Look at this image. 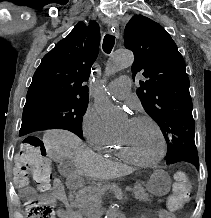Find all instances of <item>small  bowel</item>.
<instances>
[{"label":"small bowel","mask_w":211,"mask_h":218,"mask_svg":"<svg viewBox=\"0 0 211 218\" xmlns=\"http://www.w3.org/2000/svg\"><path fill=\"white\" fill-rule=\"evenodd\" d=\"M22 195L25 197H33L34 191L31 188H26L22 191ZM39 199L49 204H54L57 201L64 204L65 206L57 211L59 218H80L78 212L72 210L68 206L64 185L60 179H54L48 192L41 194ZM157 218H176V216L173 211L169 209H162L157 212Z\"/></svg>","instance_id":"1"}]
</instances>
